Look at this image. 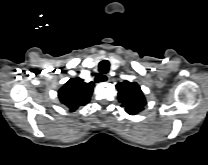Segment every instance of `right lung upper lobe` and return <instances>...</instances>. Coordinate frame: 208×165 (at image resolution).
<instances>
[{
  "instance_id": "obj_1",
  "label": "right lung upper lobe",
  "mask_w": 208,
  "mask_h": 165,
  "mask_svg": "<svg viewBox=\"0 0 208 165\" xmlns=\"http://www.w3.org/2000/svg\"><path fill=\"white\" fill-rule=\"evenodd\" d=\"M94 83L83 82L79 77L71 78L58 92V97L70 112L86 105L93 93Z\"/></svg>"
}]
</instances>
